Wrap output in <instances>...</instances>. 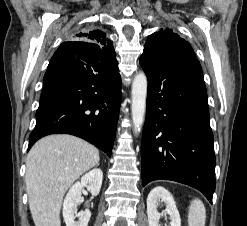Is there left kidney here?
Segmentation results:
<instances>
[{
  "instance_id": "5707ae66",
  "label": "left kidney",
  "mask_w": 247,
  "mask_h": 226,
  "mask_svg": "<svg viewBox=\"0 0 247 226\" xmlns=\"http://www.w3.org/2000/svg\"><path fill=\"white\" fill-rule=\"evenodd\" d=\"M164 202L166 209L164 213H159L157 210V204ZM147 215L149 226H161L159 224L160 217L169 215L171 222L169 226H181V219L171 193L165 188L158 186L150 191L147 197Z\"/></svg>"
}]
</instances>
